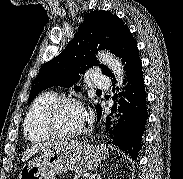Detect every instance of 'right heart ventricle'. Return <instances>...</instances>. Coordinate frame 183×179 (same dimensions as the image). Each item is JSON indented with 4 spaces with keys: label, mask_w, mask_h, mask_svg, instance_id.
<instances>
[{
    "label": "right heart ventricle",
    "mask_w": 183,
    "mask_h": 179,
    "mask_svg": "<svg viewBox=\"0 0 183 179\" xmlns=\"http://www.w3.org/2000/svg\"><path fill=\"white\" fill-rule=\"evenodd\" d=\"M57 97L53 91L43 92L32 102L24 123L25 136L33 142H41L50 138L41 125L42 114L47 105Z\"/></svg>",
    "instance_id": "e07e8e85"
}]
</instances>
